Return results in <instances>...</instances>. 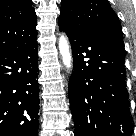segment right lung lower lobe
<instances>
[{
    "mask_svg": "<svg viewBox=\"0 0 136 136\" xmlns=\"http://www.w3.org/2000/svg\"><path fill=\"white\" fill-rule=\"evenodd\" d=\"M36 39L0 52V136H38Z\"/></svg>",
    "mask_w": 136,
    "mask_h": 136,
    "instance_id": "obj_1",
    "label": "right lung lower lobe"
}]
</instances>
